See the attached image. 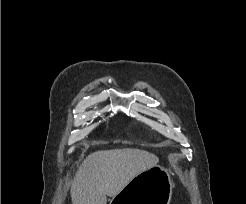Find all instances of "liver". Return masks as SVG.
I'll use <instances>...</instances> for the list:
<instances>
[{
    "label": "liver",
    "mask_w": 246,
    "mask_h": 204,
    "mask_svg": "<svg viewBox=\"0 0 246 204\" xmlns=\"http://www.w3.org/2000/svg\"><path fill=\"white\" fill-rule=\"evenodd\" d=\"M159 158L132 148L96 151L79 167L71 185L72 204H106L135 176L154 167Z\"/></svg>",
    "instance_id": "6515ba94"
}]
</instances>
